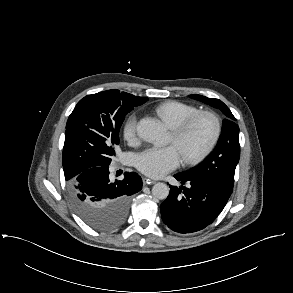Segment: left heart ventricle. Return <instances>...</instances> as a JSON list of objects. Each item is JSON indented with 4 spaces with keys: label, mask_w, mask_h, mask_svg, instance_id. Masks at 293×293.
I'll list each match as a JSON object with an SVG mask.
<instances>
[{
    "label": "left heart ventricle",
    "mask_w": 293,
    "mask_h": 293,
    "mask_svg": "<svg viewBox=\"0 0 293 293\" xmlns=\"http://www.w3.org/2000/svg\"><path fill=\"white\" fill-rule=\"evenodd\" d=\"M211 132V123L206 119H202L188 131L181 141L175 142L172 133L170 141L178 147L183 155L188 152H196L200 150L208 141Z\"/></svg>",
    "instance_id": "b2bd125f"
}]
</instances>
